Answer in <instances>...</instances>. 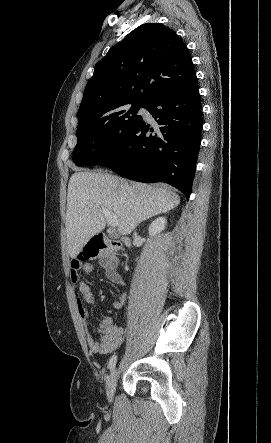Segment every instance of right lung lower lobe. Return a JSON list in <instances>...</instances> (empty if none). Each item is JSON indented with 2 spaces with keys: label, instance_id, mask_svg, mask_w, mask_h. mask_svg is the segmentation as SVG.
I'll return each instance as SVG.
<instances>
[{
  "label": "right lung lower lobe",
  "instance_id": "98d812e1",
  "mask_svg": "<svg viewBox=\"0 0 271 443\" xmlns=\"http://www.w3.org/2000/svg\"><path fill=\"white\" fill-rule=\"evenodd\" d=\"M146 109L158 124L155 132L142 121L102 166L131 180L168 183L188 199L202 131L197 79L160 93Z\"/></svg>",
  "mask_w": 271,
  "mask_h": 443
}]
</instances>
